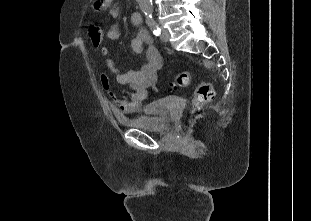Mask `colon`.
<instances>
[{
    "label": "colon",
    "instance_id": "colon-1",
    "mask_svg": "<svg viewBox=\"0 0 311 221\" xmlns=\"http://www.w3.org/2000/svg\"><path fill=\"white\" fill-rule=\"evenodd\" d=\"M87 35L95 49L102 47L103 29L97 23H90ZM190 84L189 71H183L175 77L171 88L187 87ZM214 90L209 83L201 82L195 90L192 108L200 110L205 104L214 98Z\"/></svg>",
    "mask_w": 311,
    "mask_h": 221
}]
</instances>
